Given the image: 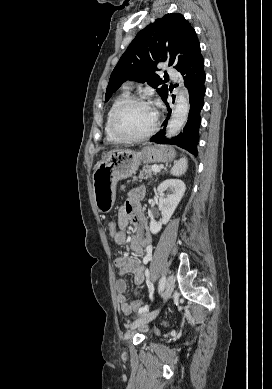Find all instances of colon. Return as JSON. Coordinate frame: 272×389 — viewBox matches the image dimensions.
I'll use <instances>...</instances> for the list:
<instances>
[{
	"mask_svg": "<svg viewBox=\"0 0 272 389\" xmlns=\"http://www.w3.org/2000/svg\"><path fill=\"white\" fill-rule=\"evenodd\" d=\"M108 232L111 237H114L119 232V225L116 221H110L108 223ZM130 306L132 307L133 311L135 312H142L147 309V305L139 300L132 301L130 303Z\"/></svg>",
	"mask_w": 272,
	"mask_h": 389,
	"instance_id": "1",
	"label": "colon"
}]
</instances>
